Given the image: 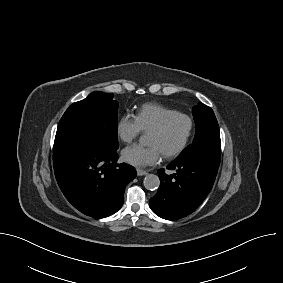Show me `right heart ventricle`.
I'll return each mask as SVG.
<instances>
[{
	"instance_id": "1",
	"label": "right heart ventricle",
	"mask_w": 283,
	"mask_h": 283,
	"mask_svg": "<svg viewBox=\"0 0 283 283\" xmlns=\"http://www.w3.org/2000/svg\"><path fill=\"white\" fill-rule=\"evenodd\" d=\"M176 112L178 111L159 103H146L137 110L135 117L142 131H150L165 117Z\"/></svg>"
}]
</instances>
